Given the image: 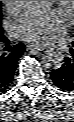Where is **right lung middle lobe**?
<instances>
[{
  "mask_svg": "<svg viewBox=\"0 0 74 122\" xmlns=\"http://www.w3.org/2000/svg\"><path fill=\"white\" fill-rule=\"evenodd\" d=\"M3 37H4V36H3L2 28H1V26H0V41L3 40Z\"/></svg>",
  "mask_w": 74,
  "mask_h": 122,
  "instance_id": "dd1d6c3e",
  "label": "right lung middle lobe"
}]
</instances>
